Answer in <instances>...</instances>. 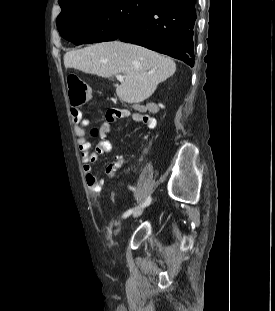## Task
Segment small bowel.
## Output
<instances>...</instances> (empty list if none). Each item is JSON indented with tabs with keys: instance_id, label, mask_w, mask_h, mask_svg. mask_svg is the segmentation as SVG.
Instances as JSON below:
<instances>
[{
	"instance_id": "obj_1",
	"label": "small bowel",
	"mask_w": 275,
	"mask_h": 311,
	"mask_svg": "<svg viewBox=\"0 0 275 311\" xmlns=\"http://www.w3.org/2000/svg\"><path fill=\"white\" fill-rule=\"evenodd\" d=\"M113 112L115 114L114 119L111 121L106 117L107 121L103 125L101 140L97 143L95 148L92 149L86 140L85 127L87 125V121L83 118L82 112L79 109L74 108L72 110V117L75 122V134L78 141L82 170L87 188L93 194H97L101 191L104 179L97 177L94 174L91 163L95 162L100 155L109 153L111 151L112 143L109 139V134L113 124L118 119H124L130 116V111L127 109H116L113 110ZM132 119L135 122L142 123L147 129H154L156 127V119L152 116L145 115L140 112H135L132 114ZM122 163L123 157L117 156L115 160L106 166L107 174L116 175Z\"/></svg>"
}]
</instances>
